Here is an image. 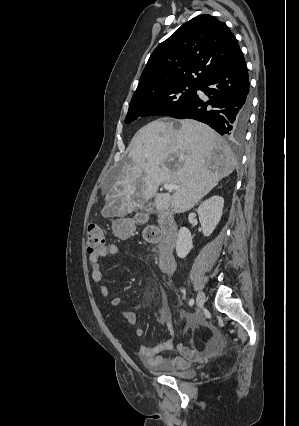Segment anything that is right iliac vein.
I'll return each mask as SVG.
<instances>
[{
  "mask_svg": "<svg viewBox=\"0 0 299 426\" xmlns=\"http://www.w3.org/2000/svg\"><path fill=\"white\" fill-rule=\"evenodd\" d=\"M205 303V294L203 292H199L196 298V304L199 308L203 307Z\"/></svg>",
  "mask_w": 299,
  "mask_h": 426,
  "instance_id": "obj_1",
  "label": "right iliac vein"
}]
</instances>
